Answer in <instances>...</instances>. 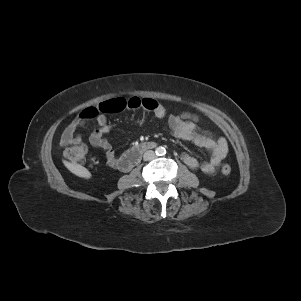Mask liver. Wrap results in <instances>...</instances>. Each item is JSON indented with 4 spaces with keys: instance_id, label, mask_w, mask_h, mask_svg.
Listing matches in <instances>:
<instances>
[{
    "instance_id": "1",
    "label": "liver",
    "mask_w": 301,
    "mask_h": 301,
    "mask_svg": "<svg viewBox=\"0 0 301 301\" xmlns=\"http://www.w3.org/2000/svg\"><path fill=\"white\" fill-rule=\"evenodd\" d=\"M64 165L68 168V170H70L72 173H74L75 175L79 176V177H83V178H90L91 177V173L83 166L78 165V164H72L69 162H64Z\"/></svg>"
}]
</instances>
